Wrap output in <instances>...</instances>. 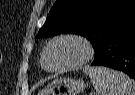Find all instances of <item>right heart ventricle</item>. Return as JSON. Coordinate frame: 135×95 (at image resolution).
<instances>
[{
	"label": "right heart ventricle",
	"instance_id": "1",
	"mask_svg": "<svg viewBox=\"0 0 135 95\" xmlns=\"http://www.w3.org/2000/svg\"><path fill=\"white\" fill-rule=\"evenodd\" d=\"M41 65L43 66V54H42V57H41Z\"/></svg>",
	"mask_w": 135,
	"mask_h": 95
}]
</instances>
